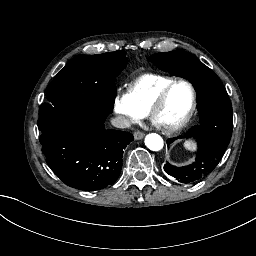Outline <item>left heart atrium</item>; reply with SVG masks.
Returning <instances> with one entry per match:
<instances>
[{"mask_svg":"<svg viewBox=\"0 0 256 256\" xmlns=\"http://www.w3.org/2000/svg\"><path fill=\"white\" fill-rule=\"evenodd\" d=\"M152 124H153L155 127L162 129L161 123L158 122V121H157L156 119H154L153 117H152Z\"/></svg>","mask_w":256,"mask_h":256,"instance_id":"left-heart-atrium-1","label":"left heart atrium"}]
</instances>
